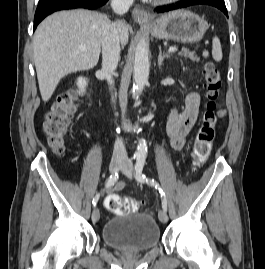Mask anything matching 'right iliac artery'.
<instances>
[{"instance_id":"right-iliac-artery-1","label":"right iliac artery","mask_w":265,"mask_h":269,"mask_svg":"<svg viewBox=\"0 0 265 269\" xmlns=\"http://www.w3.org/2000/svg\"><path fill=\"white\" fill-rule=\"evenodd\" d=\"M118 178H119L118 173H115L113 175H110V177L106 181L105 187L106 188L112 187L117 182ZM99 197H100V194L98 193L93 198L92 204H93L94 207L97 205L98 200H99Z\"/></svg>"}]
</instances>
